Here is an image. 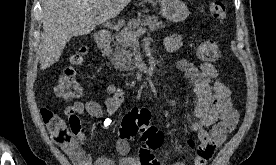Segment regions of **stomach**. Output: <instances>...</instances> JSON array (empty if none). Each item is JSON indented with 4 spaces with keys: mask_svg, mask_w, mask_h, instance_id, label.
<instances>
[{
    "mask_svg": "<svg viewBox=\"0 0 276 165\" xmlns=\"http://www.w3.org/2000/svg\"><path fill=\"white\" fill-rule=\"evenodd\" d=\"M161 6L160 13L167 20L181 22L189 15V10L181 0H158Z\"/></svg>",
    "mask_w": 276,
    "mask_h": 165,
    "instance_id": "stomach-1",
    "label": "stomach"
}]
</instances>
